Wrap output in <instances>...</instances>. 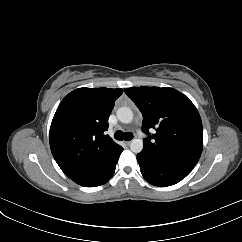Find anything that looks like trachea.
Instances as JSON below:
<instances>
[{"label":"trachea","instance_id":"1","mask_svg":"<svg viewBox=\"0 0 242 242\" xmlns=\"http://www.w3.org/2000/svg\"><path fill=\"white\" fill-rule=\"evenodd\" d=\"M114 137H115L116 140L130 141V140L133 139V134L130 133V132L124 133V132L119 130V131L115 132Z\"/></svg>","mask_w":242,"mask_h":242}]
</instances>
